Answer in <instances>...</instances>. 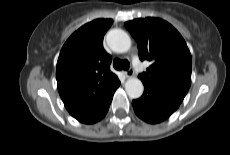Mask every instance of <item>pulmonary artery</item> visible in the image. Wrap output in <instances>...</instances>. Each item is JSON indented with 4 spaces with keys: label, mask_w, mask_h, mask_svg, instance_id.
I'll list each match as a JSON object with an SVG mask.
<instances>
[{
    "label": "pulmonary artery",
    "mask_w": 230,
    "mask_h": 155,
    "mask_svg": "<svg viewBox=\"0 0 230 155\" xmlns=\"http://www.w3.org/2000/svg\"><path fill=\"white\" fill-rule=\"evenodd\" d=\"M132 64H133L134 69L137 72H140V73L143 72L144 68H143L142 63H141V61H140V59L138 57L133 58Z\"/></svg>",
    "instance_id": "e3ab8cb5"
}]
</instances>
